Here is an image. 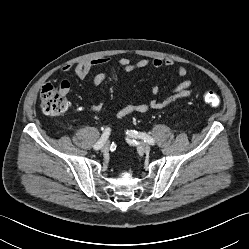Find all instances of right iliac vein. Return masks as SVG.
<instances>
[{"mask_svg":"<svg viewBox=\"0 0 249 249\" xmlns=\"http://www.w3.org/2000/svg\"><path fill=\"white\" fill-rule=\"evenodd\" d=\"M102 152H107L109 150V143L106 142L101 148Z\"/></svg>","mask_w":249,"mask_h":249,"instance_id":"obj_1","label":"right iliac vein"}]
</instances>
